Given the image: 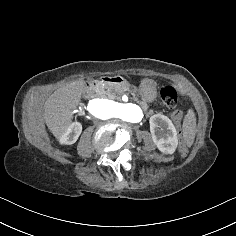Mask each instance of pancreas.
<instances>
[{"mask_svg":"<svg viewBox=\"0 0 236 236\" xmlns=\"http://www.w3.org/2000/svg\"><path fill=\"white\" fill-rule=\"evenodd\" d=\"M97 94L101 98L115 99V100H120L121 99L120 96L122 94H131L134 100L137 101V103L142 107L143 110L148 112L150 108V104H148L144 99H139V97L136 96L133 93L132 89L126 84L115 85V86L107 85L104 88H102L101 85H98Z\"/></svg>","mask_w":236,"mask_h":236,"instance_id":"1","label":"pancreas"}]
</instances>
